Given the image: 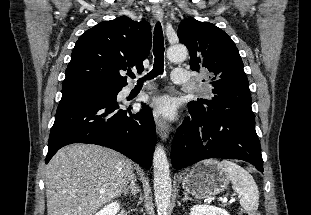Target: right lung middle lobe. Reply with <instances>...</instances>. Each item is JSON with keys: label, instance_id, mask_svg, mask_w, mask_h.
Wrapping results in <instances>:
<instances>
[{"label": "right lung middle lobe", "instance_id": "right-lung-middle-lobe-1", "mask_svg": "<svg viewBox=\"0 0 311 215\" xmlns=\"http://www.w3.org/2000/svg\"><path fill=\"white\" fill-rule=\"evenodd\" d=\"M122 88L101 84L76 83L63 86L61 101L68 99H89L98 103L116 104V97Z\"/></svg>", "mask_w": 311, "mask_h": 215}]
</instances>
